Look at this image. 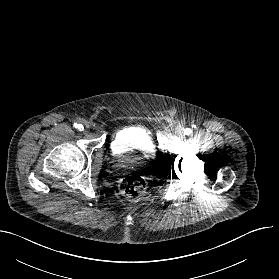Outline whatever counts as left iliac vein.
Wrapping results in <instances>:
<instances>
[{"mask_svg": "<svg viewBox=\"0 0 279 279\" xmlns=\"http://www.w3.org/2000/svg\"><path fill=\"white\" fill-rule=\"evenodd\" d=\"M184 128L182 126H177L175 128V134L179 137H183L184 136Z\"/></svg>", "mask_w": 279, "mask_h": 279, "instance_id": "4c4485c4", "label": "left iliac vein"}]
</instances>
